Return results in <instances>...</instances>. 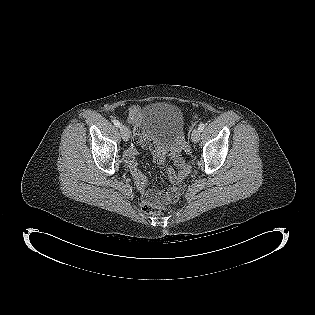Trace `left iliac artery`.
<instances>
[{
	"mask_svg": "<svg viewBox=\"0 0 315 315\" xmlns=\"http://www.w3.org/2000/svg\"><path fill=\"white\" fill-rule=\"evenodd\" d=\"M204 128H205V124H204V123H201V124L199 125V127H198V129H199L200 131H202Z\"/></svg>",
	"mask_w": 315,
	"mask_h": 315,
	"instance_id": "44dca946",
	"label": "left iliac artery"
}]
</instances>
